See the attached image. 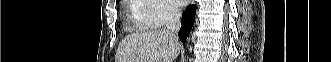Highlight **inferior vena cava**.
<instances>
[{
    "label": "inferior vena cava",
    "mask_w": 331,
    "mask_h": 62,
    "mask_svg": "<svg viewBox=\"0 0 331 62\" xmlns=\"http://www.w3.org/2000/svg\"><path fill=\"white\" fill-rule=\"evenodd\" d=\"M181 14L175 6H170L168 9L165 32L171 36L172 39L178 40L177 34L181 28Z\"/></svg>",
    "instance_id": "obj_1"
}]
</instances>
